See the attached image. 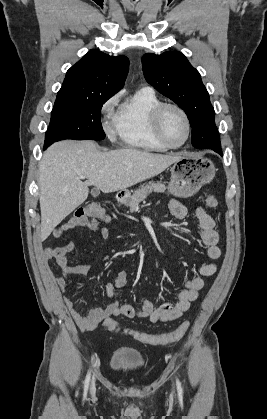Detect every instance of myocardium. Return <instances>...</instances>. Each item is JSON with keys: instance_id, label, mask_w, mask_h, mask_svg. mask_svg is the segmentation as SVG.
<instances>
[{"instance_id": "obj_1", "label": "myocardium", "mask_w": 267, "mask_h": 419, "mask_svg": "<svg viewBox=\"0 0 267 419\" xmlns=\"http://www.w3.org/2000/svg\"><path fill=\"white\" fill-rule=\"evenodd\" d=\"M169 108L175 109L180 113V115L183 117V120H184L185 126H186L185 139L183 140L182 143L177 144V145H174V144L170 143L166 139V137L163 133V129H162L163 115H164L165 111ZM151 125H152V129H153V132H154L156 138L159 140V142L161 144H163L168 149H177V148L182 147L183 145H185L187 143V141L189 140L190 135H191V123H190V119L188 117V114L186 113V111L180 105H178L176 103H170V102L160 103L152 112Z\"/></svg>"}]
</instances>
